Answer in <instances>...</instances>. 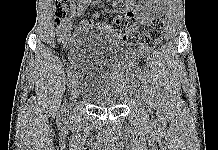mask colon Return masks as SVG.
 I'll use <instances>...</instances> for the list:
<instances>
[{
	"label": "colon",
	"mask_w": 218,
	"mask_h": 150,
	"mask_svg": "<svg viewBox=\"0 0 218 150\" xmlns=\"http://www.w3.org/2000/svg\"><path fill=\"white\" fill-rule=\"evenodd\" d=\"M76 0H56L55 1V16L59 23L61 19H64L71 13L73 5ZM114 23H120V18H116ZM164 20L159 17L156 18L147 31L146 35L141 38L136 29L126 30L121 39L128 42L129 44L138 47L142 51H150L154 49L162 38L164 33Z\"/></svg>",
	"instance_id": "colon-1"
}]
</instances>
